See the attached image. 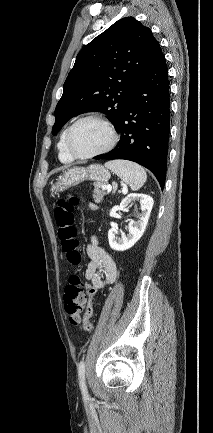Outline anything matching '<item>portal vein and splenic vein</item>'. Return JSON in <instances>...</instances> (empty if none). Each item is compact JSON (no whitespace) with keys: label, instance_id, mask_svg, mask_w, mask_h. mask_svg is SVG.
<instances>
[{"label":"portal vein and splenic vein","instance_id":"portal-vein-and-splenic-vein-1","mask_svg":"<svg viewBox=\"0 0 213 433\" xmlns=\"http://www.w3.org/2000/svg\"><path fill=\"white\" fill-rule=\"evenodd\" d=\"M103 189H104V190H107L108 193H109V192H111V190H112V186H111V185H106V186L103 187Z\"/></svg>","mask_w":213,"mask_h":433}]
</instances>
